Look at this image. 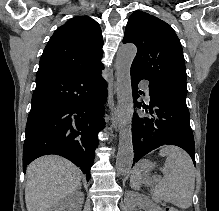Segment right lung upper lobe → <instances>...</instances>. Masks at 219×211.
Masks as SVG:
<instances>
[{"label":"right lung upper lobe","mask_w":219,"mask_h":211,"mask_svg":"<svg viewBox=\"0 0 219 211\" xmlns=\"http://www.w3.org/2000/svg\"><path fill=\"white\" fill-rule=\"evenodd\" d=\"M103 39L99 24L87 16L75 17L50 38L37 73L93 69L102 63Z\"/></svg>","instance_id":"right-lung-upper-lobe-1"}]
</instances>
